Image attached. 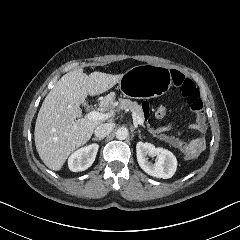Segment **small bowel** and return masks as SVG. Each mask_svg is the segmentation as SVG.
Masks as SVG:
<instances>
[{"label": "small bowel", "instance_id": "small-bowel-1", "mask_svg": "<svg viewBox=\"0 0 240 240\" xmlns=\"http://www.w3.org/2000/svg\"><path fill=\"white\" fill-rule=\"evenodd\" d=\"M175 127V121H171L163 126L153 129L152 135L155 139L166 143L184 153L189 148H196L202 152L205 148V133L207 131V126L205 120L202 122H193L186 126L188 131H197L200 136L192 139L185 140L183 138V132L179 131L177 133H171Z\"/></svg>", "mask_w": 240, "mask_h": 240}]
</instances>
